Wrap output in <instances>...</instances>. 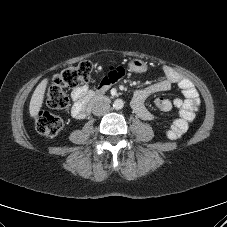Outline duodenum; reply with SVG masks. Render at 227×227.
<instances>
[{"mask_svg": "<svg viewBox=\"0 0 227 227\" xmlns=\"http://www.w3.org/2000/svg\"><path fill=\"white\" fill-rule=\"evenodd\" d=\"M103 101H107V98L104 95L99 93L91 95L85 103L83 110L84 115H87L95 104Z\"/></svg>", "mask_w": 227, "mask_h": 227, "instance_id": "1", "label": "duodenum"}]
</instances>
